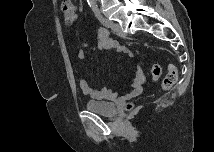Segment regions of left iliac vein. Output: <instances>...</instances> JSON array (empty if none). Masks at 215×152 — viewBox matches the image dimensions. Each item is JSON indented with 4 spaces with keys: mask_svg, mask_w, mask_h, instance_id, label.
<instances>
[{
    "mask_svg": "<svg viewBox=\"0 0 215 152\" xmlns=\"http://www.w3.org/2000/svg\"><path fill=\"white\" fill-rule=\"evenodd\" d=\"M110 27H111V29H112L116 34H118V35H123V31H122L121 27H120L118 24L113 23V22L110 21Z\"/></svg>",
    "mask_w": 215,
    "mask_h": 152,
    "instance_id": "1",
    "label": "left iliac vein"
}]
</instances>
